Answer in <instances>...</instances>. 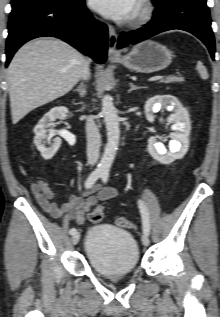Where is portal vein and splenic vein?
Returning a JSON list of instances; mask_svg holds the SVG:
<instances>
[{"label": "portal vein and splenic vein", "instance_id": "portal-vein-and-splenic-vein-1", "mask_svg": "<svg viewBox=\"0 0 220 317\" xmlns=\"http://www.w3.org/2000/svg\"><path fill=\"white\" fill-rule=\"evenodd\" d=\"M165 76H154L149 79V81H157L163 79Z\"/></svg>", "mask_w": 220, "mask_h": 317}]
</instances>
